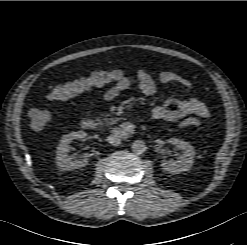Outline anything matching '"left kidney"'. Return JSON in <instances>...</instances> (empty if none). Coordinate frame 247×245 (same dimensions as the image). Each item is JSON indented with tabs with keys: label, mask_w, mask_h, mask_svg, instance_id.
<instances>
[{
	"label": "left kidney",
	"mask_w": 247,
	"mask_h": 245,
	"mask_svg": "<svg viewBox=\"0 0 247 245\" xmlns=\"http://www.w3.org/2000/svg\"><path fill=\"white\" fill-rule=\"evenodd\" d=\"M168 142L182 150V154L177 157V160H163L161 167L164 171L171 174H179L190 170L194 162L195 149L188 142L181 139L170 138Z\"/></svg>",
	"instance_id": "5707ae66"
}]
</instances>
